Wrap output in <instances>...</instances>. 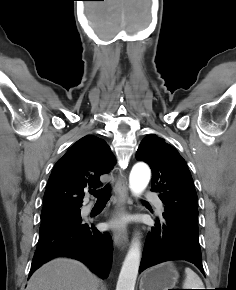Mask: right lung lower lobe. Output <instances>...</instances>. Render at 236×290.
<instances>
[{
    "label": "right lung lower lobe",
    "instance_id": "right-lung-lower-lobe-1",
    "mask_svg": "<svg viewBox=\"0 0 236 290\" xmlns=\"http://www.w3.org/2000/svg\"><path fill=\"white\" fill-rule=\"evenodd\" d=\"M113 243L108 233L99 232L93 224L77 223L39 234L29 276L42 264L58 256L85 263L101 278H106L112 262Z\"/></svg>",
    "mask_w": 236,
    "mask_h": 290
}]
</instances>
